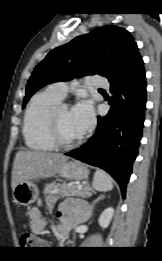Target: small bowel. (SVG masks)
Segmentation results:
<instances>
[{
    "label": "small bowel",
    "instance_id": "c3829d8e",
    "mask_svg": "<svg viewBox=\"0 0 162 261\" xmlns=\"http://www.w3.org/2000/svg\"><path fill=\"white\" fill-rule=\"evenodd\" d=\"M66 214L67 209L65 206L61 207L59 210V215L61 216L63 223L62 227H66ZM29 220L31 224V229L34 233H40L43 228L45 227V220L43 219L41 215V211L38 207H34L29 211Z\"/></svg>",
    "mask_w": 162,
    "mask_h": 261
}]
</instances>
